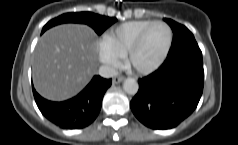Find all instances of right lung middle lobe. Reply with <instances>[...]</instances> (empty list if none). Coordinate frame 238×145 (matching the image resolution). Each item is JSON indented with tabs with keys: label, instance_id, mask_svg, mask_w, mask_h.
<instances>
[{
	"label": "right lung middle lobe",
	"instance_id": "obj_1",
	"mask_svg": "<svg viewBox=\"0 0 238 145\" xmlns=\"http://www.w3.org/2000/svg\"><path fill=\"white\" fill-rule=\"evenodd\" d=\"M117 21L116 18L97 15L91 12L65 13L57 18L50 20L42 29V33L47 29L62 23H84L101 35L109 26Z\"/></svg>",
	"mask_w": 238,
	"mask_h": 145
}]
</instances>
